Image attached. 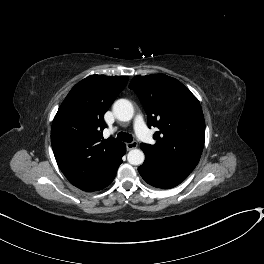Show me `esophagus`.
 <instances>
[{
  "mask_svg": "<svg viewBox=\"0 0 264 264\" xmlns=\"http://www.w3.org/2000/svg\"><path fill=\"white\" fill-rule=\"evenodd\" d=\"M127 149L128 150H131V149H135L138 147V143L136 141H133V142H130V143H127Z\"/></svg>",
  "mask_w": 264,
  "mask_h": 264,
  "instance_id": "34e87169",
  "label": "esophagus"
}]
</instances>
